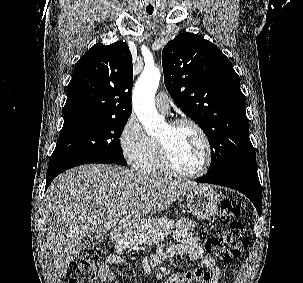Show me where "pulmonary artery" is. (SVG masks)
<instances>
[{
    "instance_id": "e3ab8cb5",
    "label": "pulmonary artery",
    "mask_w": 303,
    "mask_h": 283,
    "mask_svg": "<svg viewBox=\"0 0 303 283\" xmlns=\"http://www.w3.org/2000/svg\"><path fill=\"white\" fill-rule=\"evenodd\" d=\"M155 104L157 109L164 113L168 114L170 111V103H169V98L166 95V93H159L156 98H155Z\"/></svg>"
}]
</instances>
